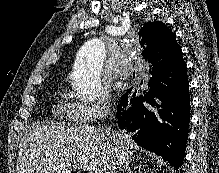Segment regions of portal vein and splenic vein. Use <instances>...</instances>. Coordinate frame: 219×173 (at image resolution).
<instances>
[{
  "mask_svg": "<svg viewBox=\"0 0 219 173\" xmlns=\"http://www.w3.org/2000/svg\"><path fill=\"white\" fill-rule=\"evenodd\" d=\"M73 166L75 168H78V169H81L82 168V165L78 164V163H73Z\"/></svg>",
  "mask_w": 219,
  "mask_h": 173,
  "instance_id": "18ae733b",
  "label": "portal vein and splenic vein"
}]
</instances>
